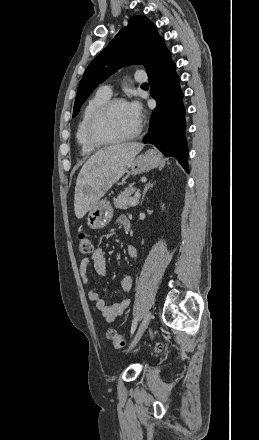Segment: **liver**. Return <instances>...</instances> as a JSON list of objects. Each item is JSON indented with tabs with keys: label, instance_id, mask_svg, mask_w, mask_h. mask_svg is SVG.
<instances>
[{
	"label": "liver",
	"instance_id": "1",
	"mask_svg": "<svg viewBox=\"0 0 259 440\" xmlns=\"http://www.w3.org/2000/svg\"><path fill=\"white\" fill-rule=\"evenodd\" d=\"M143 149L140 143L112 145L98 150L83 165L76 180L74 211L78 219L97 203L131 167Z\"/></svg>",
	"mask_w": 259,
	"mask_h": 440
}]
</instances>
